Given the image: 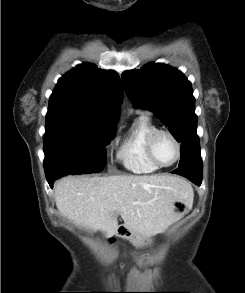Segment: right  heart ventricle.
<instances>
[{"instance_id": "1", "label": "right heart ventricle", "mask_w": 245, "mask_h": 293, "mask_svg": "<svg viewBox=\"0 0 245 293\" xmlns=\"http://www.w3.org/2000/svg\"><path fill=\"white\" fill-rule=\"evenodd\" d=\"M157 129L145 113H141L134 120L118 154L119 160L127 170L147 174L159 169L149 160L146 152L148 138Z\"/></svg>"}]
</instances>
